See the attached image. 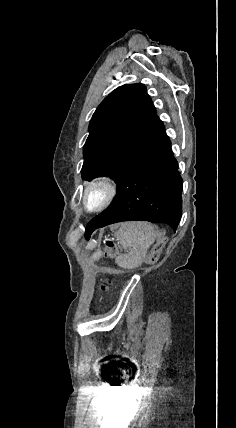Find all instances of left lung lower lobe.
Returning <instances> with one entry per match:
<instances>
[{
    "label": "left lung lower lobe",
    "mask_w": 236,
    "mask_h": 428,
    "mask_svg": "<svg viewBox=\"0 0 236 428\" xmlns=\"http://www.w3.org/2000/svg\"><path fill=\"white\" fill-rule=\"evenodd\" d=\"M182 189L178 163L159 120L117 183L114 201L87 224L85 237L122 221L161 222L176 231L182 214Z\"/></svg>",
    "instance_id": "1"
}]
</instances>
